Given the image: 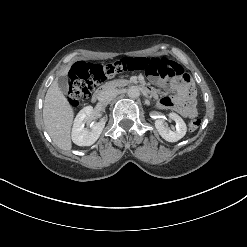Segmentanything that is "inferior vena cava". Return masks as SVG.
Returning a JSON list of instances; mask_svg holds the SVG:
<instances>
[{
	"instance_id": "1",
	"label": "inferior vena cava",
	"mask_w": 247,
	"mask_h": 247,
	"mask_svg": "<svg viewBox=\"0 0 247 247\" xmlns=\"http://www.w3.org/2000/svg\"><path fill=\"white\" fill-rule=\"evenodd\" d=\"M118 94L116 89H106L100 93L99 100L102 102H107L112 100Z\"/></svg>"
}]
</instances>
